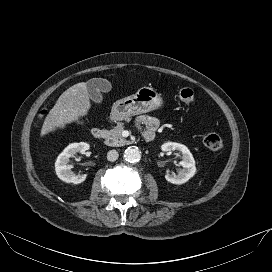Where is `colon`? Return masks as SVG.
Listing matches in <instances>:
<instances>
[{
	"label": "colon",
	"instance_id": "1",
	"mask_svg": "<svg viewBox=\"0 0 272 272\" xmlns=\"http://www.w3.org/2000/svg\"><path fill=\"white\" fill-rule=\"evenodd\" d=\"M178 98L183 103L191 104L195 100V95L192 89L183 88L178 92ZM203 142L204 145L212 151H219L223 146L220 136L215 133L205 135Z\"/></svg>",
	"mask_w": 272,
	"mask_h": 272
}]
</instances>
